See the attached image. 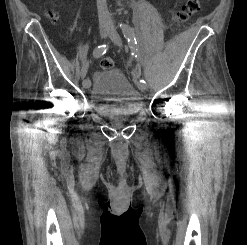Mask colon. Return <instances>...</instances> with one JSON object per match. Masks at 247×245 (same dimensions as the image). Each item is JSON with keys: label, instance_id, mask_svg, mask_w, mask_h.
<instances>
[{"label": "colon", "instance_id": "obj_1", "mask_svg": "<svg viewBox=\"0 0 247 245\" xmlns=\"http://www.w3.org/2000/svg\"><path fill=\"white\" fill-rule=\"evenodd\" d=\"M200 9V0H185V2L181 5L179 10L176 13V20L178 23L187 22L195 13H197ZM48 16L51 19L56 18V14L53 11L48 12ZM114 65L113 60L111 58H103L100 61V66L103 69L112 68Z\"/></svg>", "mask_w": 247, "mask_h": 245}]
</instances>
